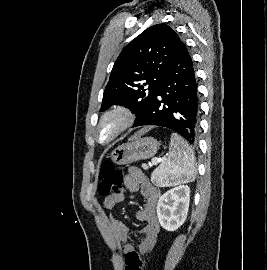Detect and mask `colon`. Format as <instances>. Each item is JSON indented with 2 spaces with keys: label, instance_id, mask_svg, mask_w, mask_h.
<instances>
[{
  "label": "colon",
  "instance_id": "1",
  "mask_svg": "<svg viewBox=\"0 0 267 270\" xmlns=\"http://www.w3.org/2000/svg\"><path fill=\"white\" fill-rule=\"evenodd\" d=\"M99 179L98 194L102 197H108L119 190L123 181V174L113 162L107 160L101 164ZM124 262V270H142L143 260L137 250L126 253Z\"/></svg>",
  "mask_w": 267,
  "mask_h": 270
}]
</instances>
